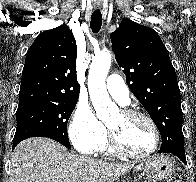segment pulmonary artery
<instances>
[{
    "mask_svg": "<svg viewBox=\"0 0 196 182\" xmlns=\"http://www.w3.org/2000/svg\"><path fill=\"white\" fill-rule=\"evenodd\" d=\"M106 88L110 96L117 100L121 105L128 104L129 91L122 77L119 75L109 76L106 82Z\"/></svg>",
    "mask_w": 196,
    "mask_h": 182,
    "instance_id": "pulmonary-artery-1",
    "label": "pulmonary artery"
}]
</instances>
